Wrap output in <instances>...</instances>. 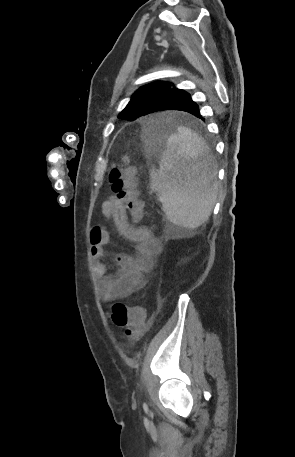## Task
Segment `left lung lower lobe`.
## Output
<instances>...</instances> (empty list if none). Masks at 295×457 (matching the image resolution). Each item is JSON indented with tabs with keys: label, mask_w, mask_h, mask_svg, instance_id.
Here are the masks:
<instances>
[{
	"label": "left lung lower lobe",
	"mask_w": 295,
	"mask_h": 457,
	"mask_svg": "<svg viewBox=\"0 0 295 457\" xmlns=\"http://www.w3.org/2000/svg\"><path fill=\"white\" fill-rule=\"evenodd\" d=\"M161 110H181L203 119L200 115L198 105L192 101L190 95L185 91L178 92L164 99L152 109V112ZM167 129V124L159 123L151 127V132L154 135H159L167 131Z\"/></svg>",
	"instance_id": "obj_1"
}]
</instances>
